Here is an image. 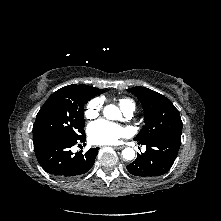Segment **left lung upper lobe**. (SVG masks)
Listing matches in <instances>:
<instances>
[{
  "instance_id": "1",
  "label": "left lung upper lobe",
  "mask_w": 221,
  "mask_h": 221,
  "mask_svg": "<svg viewBox=\"0 0 221 221\" xmlns=\"http://www.w3.org/2000/svg\"><path fill=\"white\" fill-rule=\"evenodd\" d=\"M127 91L137 96L144 110L145 125L134 138L135 141L142 142L160 135L181 137L183 123L169 99L145 87H133Z\"/></svg>"
}]
</instances>
